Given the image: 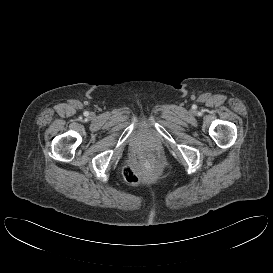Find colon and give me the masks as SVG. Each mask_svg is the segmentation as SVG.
Segmentation results:
<instances>
[{
	"label": "colon",
	"instance_id": "1",
	"mask_svg": "<svg viewBox=\"0 0 273 273\" xmlns=\"http://www.w3.org/2000/svg\"><path fill=\"white\" fill-rule=\"evenodd\" d=\"M143 164L149 171H156L158 169V163L156 159L152 156L145 157L143 159ZM124 178L129 183H137L139 181V176L134 171V169L131 166H126L123 171Z\"/></svg>",
	"mask_w": 273,
	"mask_h": 273
}]
</instances>
